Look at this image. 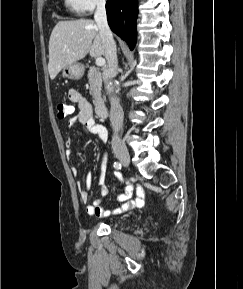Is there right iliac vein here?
I'll return each instance as SVG.
<instances>
[{
  "mask_svg": "<svg viewBox=\"0 0 243 289\" xmlns=\"http://www.w3.org/2000/svg\"><path fill=\"white\" fill-rule=\"evenodd\" d=\"M117 158L120 160L123 166L128 167L130 165V156L128 151L121 150L116 153Z\"/></svg>",
  "mask_w": 243,
  "mask_h": 289,
  "instance_id": "obj_1",
  "label": "right iliac vein"
}]
</instances>
